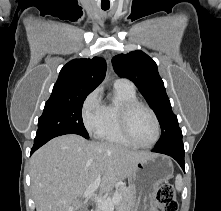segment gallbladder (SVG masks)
<instances>
[{
    "instance_id": "obj_1",
    "label": "gallbladder",
    "mask_w": 221,
    "mask_h": 211,
    "mask_svg": "<svg viewBox=\"0 0 221 211\" xmlns=\"http://www.w3.org/2000/svg\"><path fill=\"white\" fill-rule=\"evenodd\" d=\"M78 211H86L85 209H79Z\"/></svg>"
}]
</instances>
